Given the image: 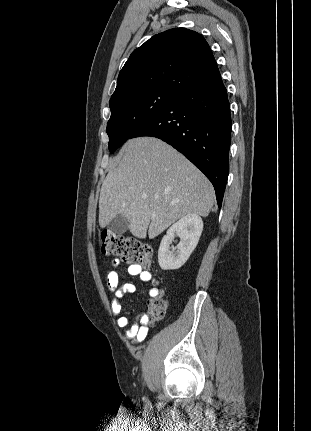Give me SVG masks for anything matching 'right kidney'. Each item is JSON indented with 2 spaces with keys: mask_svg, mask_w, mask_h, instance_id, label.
<instances>
[{
  "mask_svg": "<svg viewBox=\"0 0 311 431\" xmlns=\"http://www.w3.org/2000/svg\"><path fill=\"white\" fill-rule=\"evenodd\" d=\"M203 221L198 214H187L181 217L179 221L173 223L167 229L166 235L162 237L160 247L158 249V263L162 269H178L185 261H187L190 253L195 249L199 237L202 233ZM175 235L181 237L177 245L176 251H170V243H172Z\"/></svg>",
  "mask_w": 311,
  "mask_h": 431,
  "instance_id": "right-kidney-1",
  "label": "right kidney"
}]
</instances>
